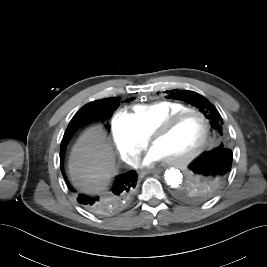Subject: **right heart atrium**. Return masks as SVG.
Wrapping results in <instances>:
<instances>
[{
    "label": "right heart atrium",
    "mask_w": 267,
    "mask_h": 267,
    "mask_svg": "<svg viewBox=\"0 0 267 267\" xmlns=\"http://www.w3.org/2000/svg\"><path fill=\"white\" fill-rule=\"evenodd\" d=\"M111 134L121 158L134 165L146 145V138L134 127L125 112L119 111L111 118Z\"/></svg>",
    "instance_id": "1"
}]
</instances>
